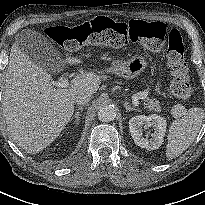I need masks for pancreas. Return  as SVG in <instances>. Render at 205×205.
Segmentation results:
<instances>
[{
    "label": "pancreas",
    "mask_w": 205,
    "mask_h": 205,
    "mask_svg": "<svg viewBox=\"0 0 205 205\" xmlns=\"http://www.w3.org/2000/svg\"><path fill=\"white\" fill-rule=\"evenodd\" d=\"M147 93V91H144L139 95L143 99L144 108L150 111L160 112L162 107L159 105V101L148 98Z\"/></svg>",
    "instance_id": "1"
}]
</instances>
